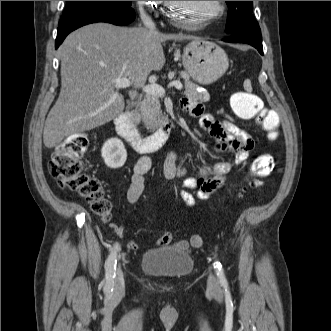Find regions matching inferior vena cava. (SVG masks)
Returning <instances> with one entry per match:
<instances>
[{
    "instance_id": "inferior-vena-cava-1",
    "label": "inferior vena cava",
    "mask_w": 331,
    "mask_h": 331,
    "mask_svg": "<svg viewBox=\"0 0 331 331\" xmlns=\"http://www.w3.org/2000/svg\"><path fill=\"white\" fill-rule=\"evenodd\" d=\"M141 19L143 21V24L145 25V27L152 33H157L156 27L154 22L152 21V19L146 15V14H142Z\"/></svg>"
}]
</instances>
